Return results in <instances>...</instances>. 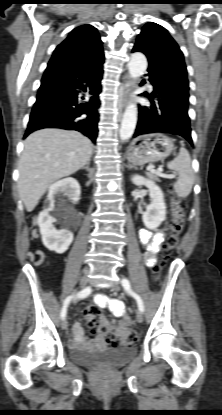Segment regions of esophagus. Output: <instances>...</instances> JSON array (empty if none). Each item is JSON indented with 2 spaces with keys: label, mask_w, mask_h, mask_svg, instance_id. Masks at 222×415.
Returning a JSON list of instances; mask_svg holds the SVG:
<instances>
[{
  "label": "esophagus",
  "mask_w": 222,
  "mask_h": 415,
  "mask_svg": "<svg viewBox=\"0 0 222 415\" xmlns=\"http://www.w3.org/2000/svg\"><path fill=\"white\" fill-rule=\"evenodd\" d=\"M131 89V80L130 78H127L123 87H122V97H121V102H122V106L124 107L127 103V99H128V95Z\"/></svg>",
  "instance_id": "obj_1"
}]
</instances>
